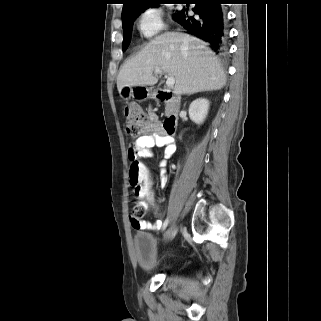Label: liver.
I'll use <instances>...</instances> for the list:
<instances>
[{"mask_svg": "<svg viewBox=\"0 0 321 321\" xmlns=\"http://www.w3.org/2000/svg\"><path fill=\"white\" fill-rule=\"evenodd\" d=\"M155 69L174 77V93L192 94L221 89L226 82L221 64L207 44L193 36L167 32L151 40L127 61L117 77L119 93L124 87L152 86Z\"/></svg>", "mask_w": 321, "mask_h": 321, "instance_id": "liver-1", "label": "liver"}]
</instances>
